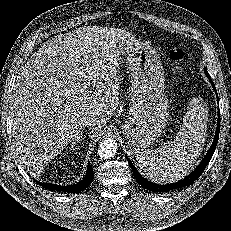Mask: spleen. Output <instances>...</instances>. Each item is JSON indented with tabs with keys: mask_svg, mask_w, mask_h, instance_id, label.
<instances>
[{
	"mask_svg": "<svg viewBox=\"0 0 231 231\" xmlns=\"http://www.w3.org/2000/svg\"><path fill=\"white\" fill-rule=\"evenodd\" d=\"M207 120L201 100H191L182 127L173 141L165 142L157 150L147 149L137 153L138 166L143 174L161 184L184 177L201 153Z\"/></svg>",
	"mask_w": 231,
	"mask_h": 231,
	"instance_id": "spleen-1",
	"label": "spleen"
}]
</instances>
